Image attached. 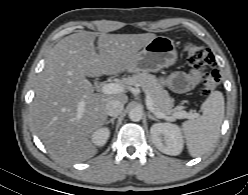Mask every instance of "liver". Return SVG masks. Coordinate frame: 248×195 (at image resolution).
<instances>
[{
  "label": "liver",
  "instance_id": "6515ba94",
  "mask_svg": "<svg viewBox=\"0 0 248 195\" xmlns=\"http://www.w3.org/2000/svg\"><path fill=\"white\" fill-rule=\"evenodd\" d=\"M80 31L61 39L49 52L31 109L35 132L58 161L82 162L97 153L90 140L105 124L110 100L128 101L124 94L94 93L86 77L117 75L128 71L148 42L145 34H106ZM83 110H79L80 103Z\"/></svg>",
  "mask_w": 248,
  "mask_h": 195
}]
</instances>
